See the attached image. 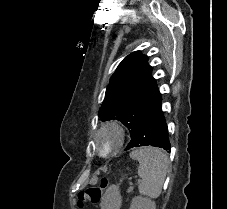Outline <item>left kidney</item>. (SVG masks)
Instances as JSON below:
<instances>
[{
	"mask_svg": "<svg viewBox=\"0 0 227 209\" xmlns=\"http://www.w3.org/2000/svg\"><path fill=\"white\" fill-rule=\"evenodd\" d=\"M130 209H156V205L154 201H150L147 197H134Z\"/></svg>",
	"mask_w": 227,
	"mask_h": 209,
	"instance_id": "left-kidney-1",
	"label": "left kidney"
}]
</instances>
